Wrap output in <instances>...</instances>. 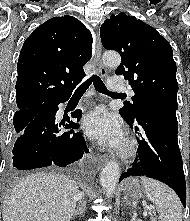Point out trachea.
Listing matches in <instances>:
<instances>
[{"label": "trachea", "instance_id": "obj_1", "mask_svg": "<svg viewBox=\"0 0 190 221\" xmlns=\"http://www.w3.org/2000/svg\"><path fill=\"white\" fill-rule=\"evenodd\" d=\"M93 83L95 89L103 94H117L107 90L105 84L97 75H92L87 81L83 82L74 92V96H81L85 93L88 87Z\"/></svg>", "mask_w": 190, "mask_h": 221}]
</instances>
